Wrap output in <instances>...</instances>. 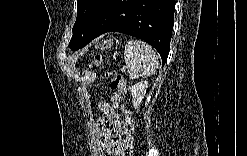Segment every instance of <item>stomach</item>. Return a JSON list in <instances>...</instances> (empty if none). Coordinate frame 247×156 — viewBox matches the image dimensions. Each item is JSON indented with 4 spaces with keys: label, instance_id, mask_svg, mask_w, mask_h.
Instances as JSON below:
<instances>
[{
    "label": "stomach",
    "instance_id": "1",
    "mask_svg": "<svg viewBox=\"0 0 247 156\" xmlns=\"http://www.w3.org/2000/svg\"><path fill=\"white\" fill-rule=\"evenodd\" d=\"M112 44H113V40L112 39L104 40L102 45H101V48L102 49H107V48L111 47Z\"/></svg>",
    "mask_w": 247,
    "mask_h": 156
}]
</instances>
